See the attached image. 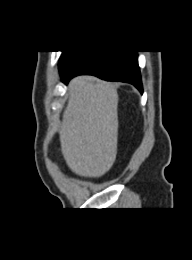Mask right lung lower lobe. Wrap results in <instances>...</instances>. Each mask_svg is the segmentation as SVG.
Segmentation results:
<instances>
[{"mask_svg":"<svg viewBox=\"0 0 192 260\" xmlns=\"http://www.w3.org/2000/svg\"><path fill=\"white\" fill-rule=\"evenodd\" d=\"M67 83L80 74H90L107 81H121L142 89L137 51H86L61 73Z\"/></svg>","mask_w":192,"mask_h":260,"instance_id":"right-lung-lower-lobe-1","label":"right lung lower lobe"}]
</instances>
